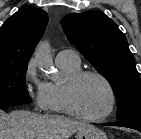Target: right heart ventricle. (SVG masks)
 Returning a JSON list of instances; mask_svg holds the SVG:
<instances>
[{
    "instance_id": "obj_1",
    "label": "right heart ventricle",
    "mask_w": 141,
    "mask_h": 139,
    "mask_svg": "<svg viewBox=\"0 0 141 139\" xmlns=\"http://www.w3.org/2000/svg\"><path fill=\"white\" fill-rule=\"evenodd\" d=\"M62 71L63 79L46 83L48 110L58 114H70L64 101V85L69 77L81 71L79 63H57Z\"/></svg>"
}]
</instances>
